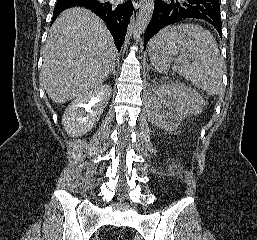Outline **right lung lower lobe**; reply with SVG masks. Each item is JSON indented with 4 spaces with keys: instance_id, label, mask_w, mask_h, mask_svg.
Masks as SVG:
<instances>
[{
    "instance_id": "obj_1",
    "label": "right lung lower lobe",
    "mask_w": 257,
    "mask_h": 240,
    "mask_svg": "<svg viewBox=\"0 0 257 240\" xmlns=\"http://www.w3.org/2000/svg\"><path fill=\"white\" fill-rule=\"evenodd\" d=\"M74 6H82L91 9L99 16L106 23L114 38L116 47L118 51H120L133 11L131 1L117 4L108 0H57L52 23L62 11Z\"/></svg>"
}]
</instances>
